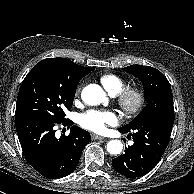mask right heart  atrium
I'll return each instance as SVG.
<instances>
[{
  "mask_svg": "<svg viewBox=\"0 0 194 194\" xmlns=\"http://www.w3.org/2000/svg\"><path fill=\"white\" fill-rule=\"evenodd\" d=\"M82 91V85L78 86V88L76 89V95L79 96L81 94Z\"/></svg>",
  "mask_w": 194,
  "mask_h": 194,
  "instance_id": "right-heart-atrium-1",
  "label": "right heart atrium"
}]
</instances>
